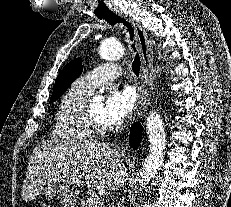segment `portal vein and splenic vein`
I'll return each mask as SVG.
<instances>
[{"label":"portal vein and splenic vein","instance_id":"18ae733b","mask_svg":"<svg viewBox=\"0 0 231 207\" xmlns=\"http://www.w3.org/2000/svg\"><path fill=\"white\" fill-rule=\"evenodd\" d=\"M97 199L98 200H100V199L103 200V197L102 196H98Z\"/></svg>","mask_w":231,"mask_h":207}]
</instances>
